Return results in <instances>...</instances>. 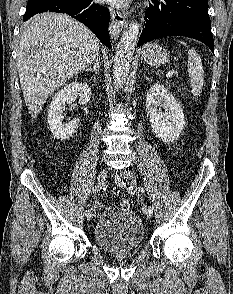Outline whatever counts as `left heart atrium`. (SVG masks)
I'll use <instances>...</instances> for the list:
<instances>
[{
  "instance_id": "left-heart-atrium-1",
  "label": "left heart atrium",
  "mask_w": 233,
  "mask_h": 294,
  "mask_svg": "<svg viewBox=\"0 0 233 294\" xmlns=\"http://www.w3.org/2000/svg\"><path fill=\"white\" fill-rule=\"evenodd\" d=\"M101 1L115 5L117 7H124L128 4L130 0H101Z\"/></svg>"
}]
</instances>
